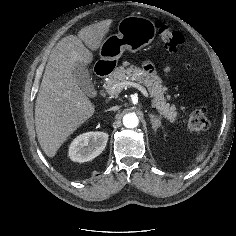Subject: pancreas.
<instances>
[{"label":"pancreas","instance_id":"1","mask_svg":"<svg viewBox=\"0 0 236 236\" xmlns=\"http://www.w3.org/2000/svg\"><path fill=\"white\" fill-rule=\"evenodd\" d=\"M128 79L146 86L151 97H153L152 103L160 115L166 118L170 123H175L178 112L174 104L170 105L167 102L170 97L169 95L165 96L166 88L162 86L161 78L155 73L147 72L136 65H130L126 62L123 66L116 68L115 71L110 74L104 88L110 94V90L114 85L125 82ZM121 90L119 92H121ZM119 92L112 95H117Z\"/></svg>","mask_w":236,"mask_h":236}]
</instances>
